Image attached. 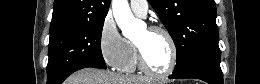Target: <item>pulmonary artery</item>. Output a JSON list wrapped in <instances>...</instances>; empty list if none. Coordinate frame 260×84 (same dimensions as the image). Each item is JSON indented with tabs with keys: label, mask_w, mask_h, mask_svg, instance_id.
Listing matches in <instances>:
<instances>
[{
	"label": "pulmonary artery",
	"mask_w": 260,
	"mask_h": 84,
	"mask_svg": "<svg viewBox=\"0 0 260 84\" xmlns=\"http://www.w3.org/2000/svg\"><path fill=\"white\" fill-rule=\"evenodd\" d=\"M131 10L139 17H145L148 11L147 1H131L130 2Z\"/></svg>",
	"instance_id": "obj_1"
}]
</instances>
